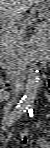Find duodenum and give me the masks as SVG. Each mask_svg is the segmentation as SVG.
<instances>
[{
    "instance_id": "410a0bca",
    "label": "duodenum",
    "mask_w": 50,
    "mask_h": 148,
    "mask_svg": "<svg viewBox=\"0 0 50 148\" xmlns=\"http://www.w3.org/2000/svg\"><path fill=\"white\" fill-rule=\"evenodd\" d=\"M49 56L47 54H41L37 58L26 57L22 61L27 66H34L35 63L43 64L48 60ZM16 86L20 90L23 87L21 76L15 77Z\"/></svg>"
}]
</instances>
